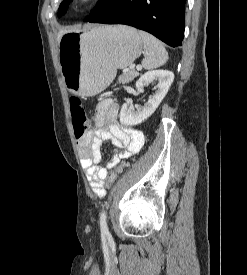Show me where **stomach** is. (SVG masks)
Listing matches in <instances>:
<instances>
[{
    "label": "stomach",
    "mask_w": 247,
    "mask_h": 275,
    "mask_svg": "<svg viewBox=\"0 0 247 275\" xmlns=\"http://www.w3.org/2000/svg\"><path fill=\"white\" fill-rule=\"evenodd\" d=\"M143 40L129 26H96L71 31L59 41V63L66 88L79 96L105 90L117 69L131 65L142 52Z\"/></svg>",
    "instance_id": "1"
}]
</instances>
